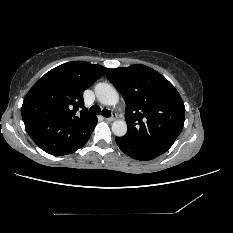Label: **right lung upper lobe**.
<instances>
[{
  "label": "right lung upper lobe",
  "instance_id": "cb5924a9",
  "mask_svg": "<svg viewBox=\"0 0 233 233\" xmlns=\"http://www.w3.org/2000/svg\"><path fill=\"white\" fill-rule=\"evenodd\" d=\"M106 70L73 61L50 70L33 85L21 112L27 133L42 150L58 156L81 142L97 122L84 107L83 91Z\"/></svg>",
  "mask_w": 233,
  "mask_h": 233
}]
</instances>
